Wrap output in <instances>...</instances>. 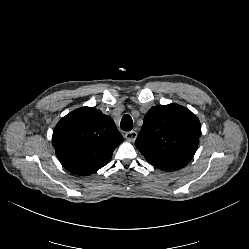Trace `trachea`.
Masks as SVG:
<instances>
[{
    "mask_svg": "<svg viewBox=\"0 0 249 249\" xmlns=\"http://www.w3.org/2000/svg\"><path fill=\"white\" fill-rule=\"evenodd\" d=\"M132 127H133L132 118L128 114H125L121 120V129L124 131H130L132 130Z\"/></svg>",
    "mask_w": 249,
    "mask_h": 249,
    "instance_id": "obj_1",
    "label": "trachea"
}]
</instances>
